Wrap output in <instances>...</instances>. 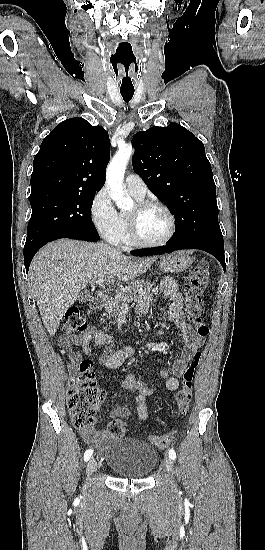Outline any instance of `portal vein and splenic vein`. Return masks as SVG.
Segmentation results:
<instances>
[{
	"mask_svg": "<svg viewBox=\"0 0 265 550\" xmlns=\"http://www.w3.org/2000/svg\"><path fill=\"white\" fill-rule=\"evenodd\" d=\"M103 282H104V279L100 278L95 283H96V285H101Z\"/></svg>",
	"mask_w": 265,
	"mask_h": 550,
	"instance_id": "obj_1",
	"label": "portal vein and splenic vein"
}]
</instances>
